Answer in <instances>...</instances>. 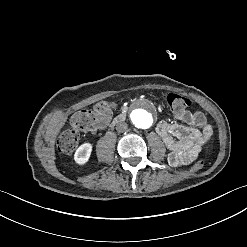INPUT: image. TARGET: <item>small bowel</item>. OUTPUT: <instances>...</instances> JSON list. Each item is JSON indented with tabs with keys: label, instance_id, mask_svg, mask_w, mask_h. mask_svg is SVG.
<instances>
[{
	"label": "small bowel",
	"instance_id": "obj_1",
	"mask_svg": "<svg viewBox=\"0 0 247 247\" xmlns=\"http://www.w3.org/2000/svg\"><path fill=\"white\" fill-rule=\"evenodd\" d=\"M176 115L187 125L161 121L156 131L169 151V164L172 167H184L192 163L202 151L209 139L205 129L210 126L200 111L180 110Z\"/></svg>",
	"mask_w": 247,
	"mask_h": 247
}]
</instances>
